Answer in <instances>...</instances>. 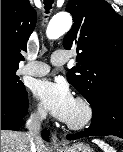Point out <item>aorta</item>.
<instances>
[{"label":"aorta","mask_w":123,"mask_h":152,"mask_svg":"<svg viewBox=\"0 0 123 152\" xmlns=\"http://www.w3.org/2000/svg\"><path fill=\"white\" fill-rule=\"evenodd\" d=\"M72 26V17L68 13H59L49 22L46 29V35L49 39H57L70 30Z\"/></svg>","instance_id":"1"}]
</instances>
